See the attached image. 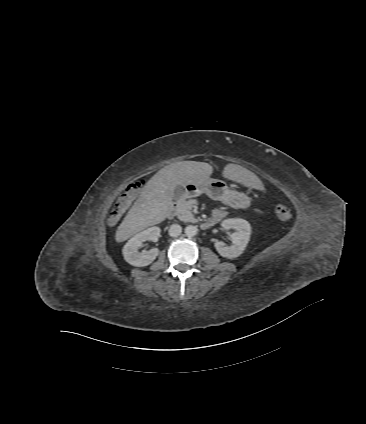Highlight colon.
I'll list each match as a JSON object with an SVG mask.
<instances>
[{
    "mask_svg": "<svg viewBox=\"0 0 366 424\" xmlns=\"http://www.w3.org/2000/svg\"><path fill=\"white\" fill-rule=\"evenodd\" d=\"M143 181L130 184L122 195L117 199L109 216L110 223L114 224L119 221L123 213L130 206L131 202L137 197L142 186ZM275 214L280 220H288L291 217V210L282 204H278L275 208Z\"/></svg>",
    "mask_w": 366,
    "mask_h": 424,
    "instance_id": "5ec220e1",
    "label": "colon"
}]
</instances>
